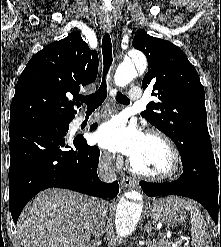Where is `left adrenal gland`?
<instances>
[{"label": "left adrenal gland", "instance_id": "left-adrenal-gland-1", "mask_svg": "<svg viewBox=\"0 0 221 247\" xmlns=\"http://www.w3.org/2000/svg\"><path fill=\"white\" fill-rule=\"evenodd\" d=\"M144 231L147 232L148 236H152V226L150 221H148L147 224L144 226Z\"/></svg>", "mask_w": 221, "mask_h": 247}]
</instances>
